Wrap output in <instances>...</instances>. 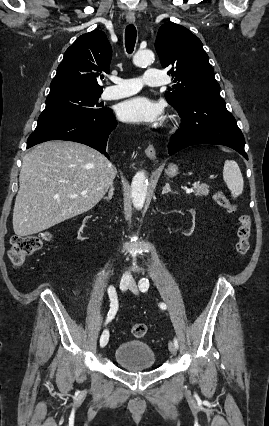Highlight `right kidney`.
<instances>
[{"label":"right kidney","instance_id":"1","mask_svg":"<svg viewBox=\"0 0 269 426\" xmlns=\"http://www.w3.org/2000/svg\"><path fill=\"white\" fill-rule=\"evenodd\" d=\"M90 220V217L89 216H86L85 217V219H84V221H83V224H82V226L80 227V229H79V231H78V240H80V241H84L85 239H87V237H83L82 235H81V233H82V230H83V227L85 226V222L86 221H89Z\"/></svg>","mask_w":269,"mask_h":426}]
</instances>
